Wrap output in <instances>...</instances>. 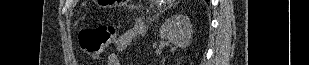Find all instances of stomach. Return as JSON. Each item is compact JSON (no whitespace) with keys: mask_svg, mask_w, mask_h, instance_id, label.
Returning a JSON list of instances; mask_svg holds the SVG:
<instances>
[{"mask_svg":"<svg viewBox=\"0 0 309 65\" xmlns=\"http://www.w3.org/2000/svg\"><path fill=\"white\" fill-rule=\"evenodd\" d=\"M99 4L103 8H113L124 4V0H99Z\"/></svg>","mask_w":309,"mask_h":65,"instance_id":"stomach-1","label":"stomach"}]
</instances>
